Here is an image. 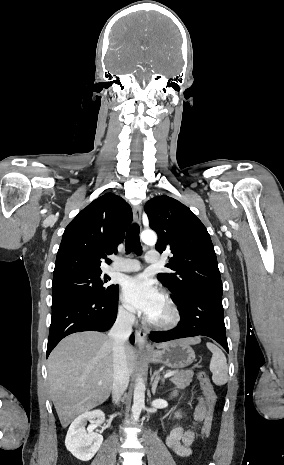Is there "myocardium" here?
<instances>
[{
  "mask_svg": "<svg viewBox=\"0 0 284 465\" xmlns=\"http://www.w3.org/2000/svg\"><path fill=\"white\" fill-rule=\"evenodd\" d=\"M163 302L165 303L168 309L169 319L164 322H157V321L151 320L150 318H146V323L149 327L157 331H170L179 324L180 313L174 301L169 296L164 295Z\"/></svg>",
  "mask_w": 284,
  "mask_h": 465,
  "instance_id": "f54148a6",
  "label": "myocardium"
}]
</instances>
